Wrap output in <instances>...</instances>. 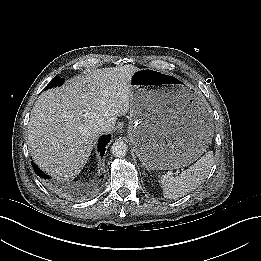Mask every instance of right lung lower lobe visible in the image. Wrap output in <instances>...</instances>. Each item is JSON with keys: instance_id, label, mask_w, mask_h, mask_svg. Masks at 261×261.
<instances>
[{"instance_id": "1", "label": "right lung lower lobe", "mask_w": 261, "mask_h": 261, "mask_svg": "<svg viewBox=\"0 0 261 261\" xmlns=\"http://www.w3.org/2000/svg\"><path fill=\"white\" fill-rule=\"evenodd\" d=\"M110 139H111V136L107 135V136L101 137V139L99 140L98 150L100 151L101 156L104 155V153H105V146L110 141ZM33 167H34L35 173L37 175H39L43 179H49V177L44 172H42L37 166L33 165Z\"/></svg>"}]
</instances>
